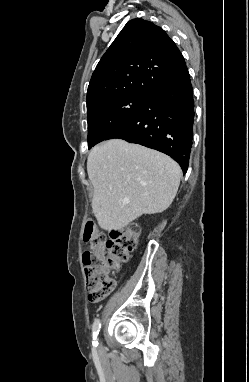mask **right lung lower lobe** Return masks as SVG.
Segmentation results:
<instances>
[{
    "instance_id": "obj_1",
    "label": "right lung lower lobe",
    "mask_w": 249,
    "mask_h": 382,
    "mask_svg": "<svg viewBox=\"0 0 249 382\" xmlns=\"http://www.w3.org/2000/svg\"><path fill=\"white\" fill-rule=\"evenodd\" d=\"M194 99L187 67L162 82L139 112L106 140L119 138L175 159L185 174L193 139Z\"/></svg>"
}]
</instances>
